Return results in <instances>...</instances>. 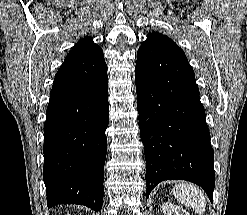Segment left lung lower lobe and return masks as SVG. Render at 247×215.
Here are the masks:
<instances>
[{"mask_svg": "<svg viewBox=\"0 0 247 215\" xmlns=\"http://www.w3.org/2000/svg\"><path fill=\"white\" fill-rule=\"evenodd\" d=\"M146 197L164 180H187L213 200L214 151L193 69L174 43L147 39L135 67Z\"/></svg>", "mask_w": 247, "mask_h": 215, "instance_id": "left-lung-lower-lobe-1", "label": "left lung lower lobe"}]
</instances>
